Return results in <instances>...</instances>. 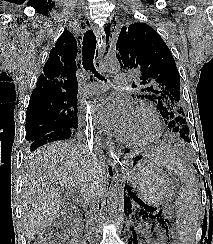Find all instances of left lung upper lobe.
I'll use <instances>...</instances> for the list:
<instances>
[{"label": "left lung upper lobe", "instance_id": "left-lung-upper-lobe-1", "mask_svg": "<svg viewBox=\"0 0 213 244\" xmlns=\"http://www.w3.org/2000/svg\"><path fill=\"white\" fill-rule=\"evenodd\" d=\"M116 49L121 69L135 73V98L150 100L163 117L170 132L190 142L183 101L180 98V76L174 58L161 36L145 23L122 27Z\"/></svg>", "mask_w": 213, "mask_h": 244}]
</instances>
